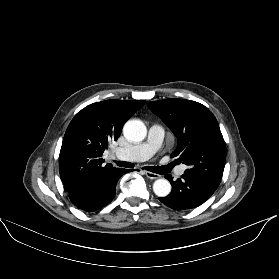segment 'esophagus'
<instances>
[{
	"label": "esophagus",
	"instance_id": "obj_1",
	"mask_svg": "<svg viewBox=\"0 0 279 279\" xmlns=\"http://www.w3.org/2000/svg\"><path fill=\"white\" fill-rule=\"evenodd\" d=\"M145 175L150 178V179H158L160 178V175L156 174V173H152L149 171H145Z\"/></svg>",
	"mask_w": 279,
	"mask_h": 279
}]
</instances>
